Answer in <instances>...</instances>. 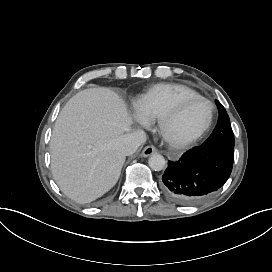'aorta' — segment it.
<instances>
[{
  "label": "aorta",
  "instance_id": "1",
  "mask_svg": "<svg viewBox=\"0 0 272 272\" xmlns=\"http://www.w3.org/2000/svg\"><path fill=\"white\" fill-rule=\"evenodd\" d=\"M148 164L151 169L155 171H161L165 167V159L161 154H153L148 160Z\"/></svg>",
  "mask_w": 272,
  "mask_h": 272
}]
</instances>
